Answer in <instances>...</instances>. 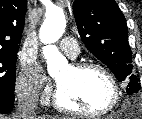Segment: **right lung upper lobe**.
<instances>
[{
    "mask_svg": "<svg viewBox=\"0 0 142 119\" xmlns=\"http://www.w3.org/2000/svg\"><path fill=\"white\" fill-rule=\"evenodd\" d=\"M26 6V0H0V51H18Z\"/></svg>",
    "mask_w": 142,
    "mask_h": 119,
    "instance_id": "obj_1",
    "label": "right lung upper lobe"
}]
</instances>
